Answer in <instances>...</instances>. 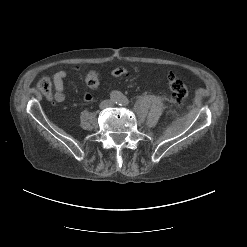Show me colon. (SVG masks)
<instances>
[{
	"mask_svg": "<svg viewBox=\"0 0 247 247\" xmlns=\"http://www.w3.org/2000/svg\"><path fill=\"white\" fill-rule=\"evenodd\" d=\"M85 80L86 84L90 88H96L100 83V77L96 71H90L86 75ZM38 88L46 98L52 99L51 83L48 78H42L38 83ZM168 88L172 99L176 103L183 104L186 101L188 97V89L182 80L176 77H171L168 82Z\"/></svg>",
	"mask_w": 247,
	"mask_h": 247,
	"instance_id": "1",
	"label": "colon"
}]
</instances>
